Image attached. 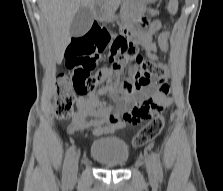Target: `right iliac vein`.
Returning a JSON list of instances; mask_svg holds the SVG:
<instances>
[{"instance_id":"1","label":"right iliac vein","mask_w":223,"mask_h":191,"mask_svg":"<svg viewBox=\"0 0 223 191\" xmlns=\"http://www.w3.org/2000/svg\"><path fill=\"white\" fill-rule=\"evenodd\" d=\"M78 163H79V156L76 155L71 163V167H70V177L71 178H75L77 176L78 173Z\"/></svg>"}]
</instances>
